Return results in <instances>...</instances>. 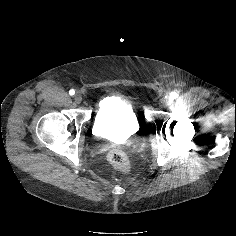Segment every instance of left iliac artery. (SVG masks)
Masks as SVG:
<instances>
[{
	"mask_svg": "<svg viewBox=\"0 0 236 236\" xmlns=\"http://www.w3.org/2000/svg\"><path fill=\"white\" fill-rule=\"evenodd\" d=\"M170 97L173 98V99H176L178 97V94L176 92H172L170 94Z\"/></svg>",
	"mask_w": 236,
	"mask_h": 236,
	"instance_id": "left-iliac-artery-1",
	"label": "left iliac artery"
}]
</instances>
